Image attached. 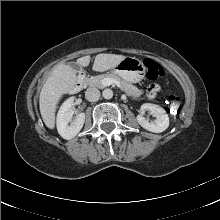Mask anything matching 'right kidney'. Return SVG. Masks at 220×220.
<instances>
[{"label": "right kidney", "instance_id": "obj_1", "mask_svg": "<svg viewBox=\"0 0 220 220\" xmlns=\"http://www.w3.org/2000/svg\"><path fill=\"white\" fill-rule=\"evenodd\" d=\"M74 97L67 99L59 109L57 115V130L58 133L66 140L74 138L82 129L85 122V114L79 113L74 122L72 121L74 111L72 110Z\"/></svg>", "mask_w": 220, "mask_h": 220}]
</instances>
